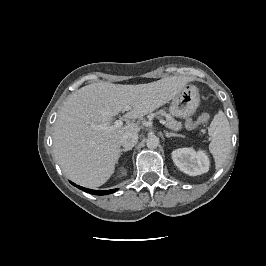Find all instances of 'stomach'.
Returning <instances> with one entry per match:
<instances>
[{
	"label": "stomach",
	"mask_w": 266,
	"mask_h": 266,
	"mask_svg": "<svg viewBox=\"0 0 266 266\" xmlns=\"http://www.w3.org/2000/svg\"><path fill=\"white\" fill-rule=\"evenodd\" d=\"M200 104L199 91L194 85H186L173 99L169 107L171 115L179 118L192 116Z\"/></svg>",
	"instance_id": "1"
}]
</instances>
